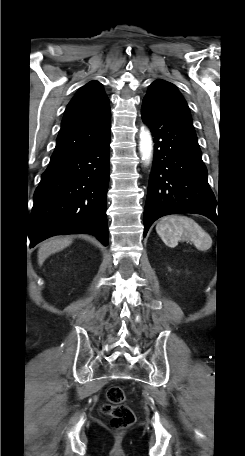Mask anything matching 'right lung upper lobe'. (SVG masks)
I'll list each match as a JSON object with an SVG mask.
<instances>
[{"mask_svg":"<svg viewBox=\"0 0 245 456\" xmlns=\"http://www.w3.org/2000/svg\"><path fill=\"white\" fill-rule=\"evenodd\" d=\"M111 124L109 99L102 84L83 86L66 107L51 158L73 153L91 145Z\"/></svg>","mask_w":245,"mask_h":456,"instance_id":"cb5924a9","label":"right lung upper lobe"}]
</instances>
